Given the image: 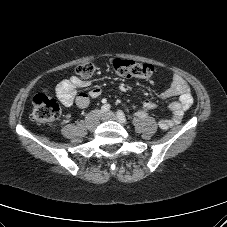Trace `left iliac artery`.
Instances as JSON below:
<instances>
[{"label": "left iliac artery", "instance_id": "obj_1", "mask_svg": "<svg viewBox=\"0 0 227 227\" xmlns=\"http://www.w3.org/2000/svg\"><path fill=\"white\" fill-rule=\"evenodd\" d=\"M117 117H118L123 123H126V117H125L124 113H123L121 110L117 111Z\"/></svg>", "mask_w": 227, "mask_h": 227}]
</instances>
